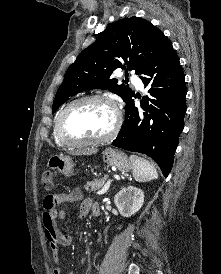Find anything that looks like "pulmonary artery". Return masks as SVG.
<instances>
[{"instance_id":"e3ab8cb5","label":"pulmonary artery","mask_w":221,"mask_h":274,"mask_svg":"<svg viewBox=\"0 0 221 274\" xmlns=\"http://www.w3.org/2000/svg\"><path fill=\"white\" fill-rule=\"evenodd\" d=\"M131 80H132V82L136 85V87H137L138 89H142V87H143L142 82H141V80L138 78L137 75L132 74V75H131Z\"/></svg>"}]
</instances>
